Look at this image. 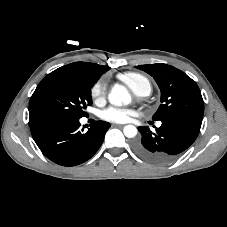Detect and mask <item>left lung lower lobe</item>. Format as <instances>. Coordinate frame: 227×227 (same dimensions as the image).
<instances>
[{
	"label": "left lung lower lobe",
	"instance_id": "left-lung-lower-lobe-1",
	"mask_svg": "<svg viewBox=\"0 0 227 227\" xmlns=\"http://www.w3.org/2000/svg\"><path fill=\"white\" fill-rule=\"evenodd\" d=\"M156 132L139 127L142 138L135 142L134 150L152 163H167L186 150L197 138L202 119L192 116H174L161 119Z\"/></svg>",
	"mask_w": 227,
	"mask_h": 227
}]
</instances>
